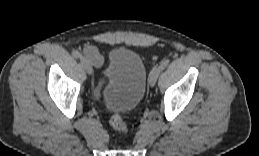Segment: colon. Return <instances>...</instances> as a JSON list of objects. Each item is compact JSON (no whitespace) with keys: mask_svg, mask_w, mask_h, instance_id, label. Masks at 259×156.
<instances>
[{"mask_svg":"<svg viewBox=\"0 0 259 156\" xmlns=\"http://www.w3.org/2000/svg\"><path fill=\"white\" fill-rule=\"evenodd\" d=\"M153 62L156 63L157 60L154 58ZM110 125L111 127L118 131L119 133L123 135H127L128 133V127L126 123L124 122L122 115L120 113H114L110 118Z\"/></svg>","mask_w":259,"mask_h":156,"instance_id":"1","label":"colon"}]
</instances>
